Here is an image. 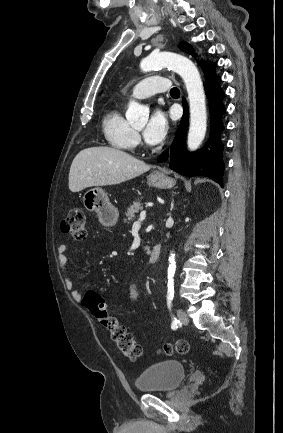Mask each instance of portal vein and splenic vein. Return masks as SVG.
I'll return each instance as SVG.
<instances>
[{
    "label": "portal vein and splenic vein",
    "instance_id": "portal-vein-and-splenic-vein-1",
    "mask_svg": "<svg viewBox=\"0 0 283 433\" xmlns=\"http://www.w3.org/2000/svg\"><path fill=\"white\" fill-rule=\"evenodd\" d=\"M145 217H146V210H141L140 219H138V221H136V223H141V221H144Z\"/></svg>",
    "mask_w": 283,
    "mask_h": 433
}]
</instances>
